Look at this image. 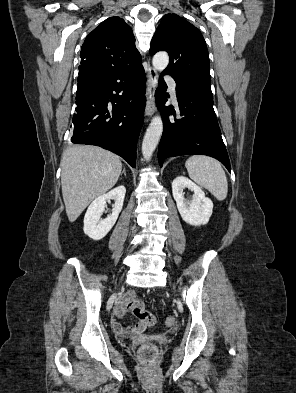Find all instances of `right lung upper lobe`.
I'll return each instance as SVG.
<instances>
[{
  "label": "right lung upper lobe",
  "instance_id": "right-lung-upper-lobe-1",
  "mask_svg": "<svg viewBox=\"0 0 296 393\" xmlns=\"http://www.w3.org/2000/svg\"><path fill=\"white\" fill-rule=\"evenodd\" d=\"M80 58L79 67L101 72L127 71L142 65L132 30L119 17L106 19L86 37Z\"/></svg>",
  "mask_w": 296,
  "mask_h": 393
}]
</instances>
